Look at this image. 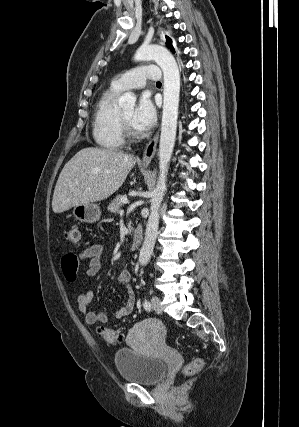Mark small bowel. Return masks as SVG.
Instances as JSON below:
<instances>
[{
	"label": "small bowel",
	"instance_id": "obj_1",
	"mask_svg": "<svg viewBox=\"0 0 299 427\" xmlns=\"http://www.w3.org/2000/svg\"><path fill=\"white\" fill-rule=\"evenodd\" d=\"M104 248L100 243H93L78 253L65 254L61 259V267L65 278L69 282H75L79 276V262H86L85 277L91 279L95 277L102 269V258ZM118 281L127 288V298L124 305L114 313L115 320H121L128 316L134 309L135 295L131 289L132 277L131 273L124 270L119 273ZM92 291H85L77 297V309L80 315L89 325L96 323L106 324L108 316L102 312H93L89 310V305L92 301Z\"/></svg>",
	"mask_w": 299,
	"mask_h": 427
}]
</instances>
